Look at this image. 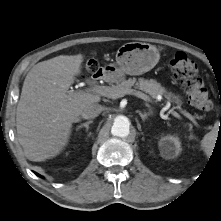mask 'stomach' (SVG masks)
<instances>
[{
    "instance_id": "0dacf381",
    "label": "stomach",
    "mask_w": 221,
    "mask_h": 221,
    "mask_svg": "<svg viewBox=\"0 0 221 221\" xmlns=\"http://www.w3.org/2000/svg\"><path fill=\"white\" fill-rule=\"evenodd\" d=\"M158 49L151 44L130 42L116 53V64L107 67L112 80L121 81L125 74L141 75L150 71L159 61Z\"/></svg>"
}]
</instances>
